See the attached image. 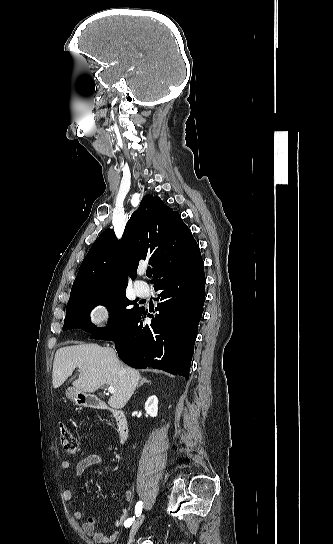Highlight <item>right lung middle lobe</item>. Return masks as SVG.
<instances>
[{"label": "right lung middle lobe", "mask_w": 333, "mask_h": 544, "mask_svg": "<svg viewBox=\"0 0 333 544\" xmlns=\"http://www.w3.org/2000/svg\"><path fill=\"white\" fill-rule=\"evenodd\" d=\"M100 304L106 306L111 312L108 327L96 328L91 324L90 311ZM141 309L142 307H139L136 301L127 299L125 289L78 296L68 301L63 330L81 327L84 331L91 333V336H96L119 327Z\"/></svg>", "instance_id": "obj_1"}]
</instances>
